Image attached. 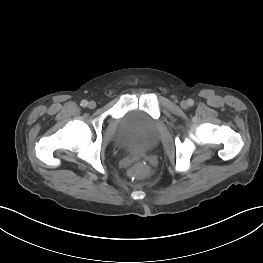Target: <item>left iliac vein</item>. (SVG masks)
Returning <instances> with one entry per match:
<instances>
[{
	"instance_id": "1",
	"label": "left iliac vein",
	"mask_w": 263,
	"mask_h": 263,
	"mask_svg": "<svg viewBox=\"0 0 263 263\" xmlns=\"http://www.w3.org/2000/svg\"><path fill=\"white\" fill-rule=\"evenodd\" d=\"M181 106H182L183 108H186V107H187V102H186V101L181 102Z\"/></svg>"
}]
</instances>
